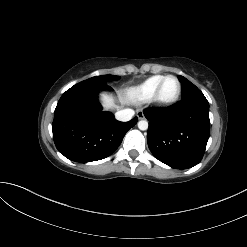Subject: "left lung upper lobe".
Segmentation results:
<instances>
[{"label": "left lung upper lobe", "mask_w": 247, "mask_h": 247, "mask_svg": "<svg viewBox=\"0 0 247 247\" xmlns=\"http://www.w3.org/2000/svg\"><path fill=\"white\" fill-rule=\"evenodd\" d=\"M178 79L180 83L182 84V92H181V97L184 98L187 96V94L194 89H198L194 84H192L189 80H187L183 76H178Z\"/></svg>", "instance_id": "obj_1"}]
</instances>
